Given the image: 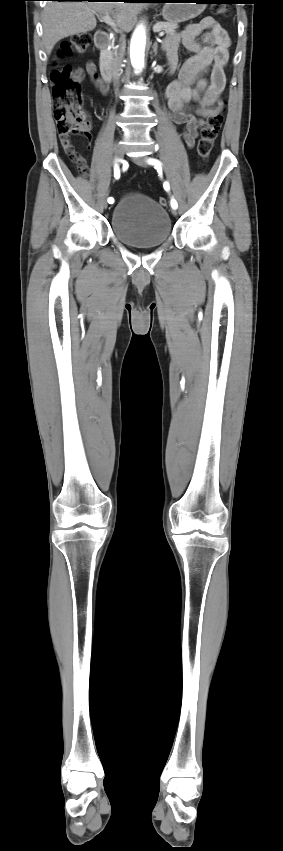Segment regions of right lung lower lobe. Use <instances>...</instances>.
Segmentation results:
<instances>
[{
  "instance_id": "obj_1",
  "label": "right lung lower lobe",
  "mask_w": 283,
  "mask_h": 851,
  "mask_svg": "<svg viewBox=\"0 0 283 851\" xmlns=\"http://www.w3.org/2000/svg\"><path fill=\"white\" fill-rule=\"evenodd\" d=\"M55 1H97V0H55ZM121 1H124V2H150V0H121Z\"/></svg>"
}]
</instances>
